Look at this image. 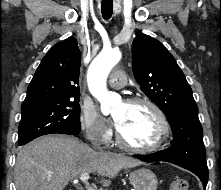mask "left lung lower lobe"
Masks as SVG:
<instances>
[{
  "mask_svg": "<svg viewBox=\"0 0 221 190\" xmlns=\"http://www.w3.org/2000/svg\"><path fill=\"white\" fill-rule=\"evenodd\" d=\"M134 157L145 162L165 161L183 167L197 175L202 181L204 189H206L209 177L206 159L195 156L178 155L172 152L170 148L148 155H134Z\"/></svg>",
  "mask_w": 221,
  "mask_h": 190,
  "instance_id": "obj_1",
  "label": "left lung lower lobe"
}]
</instances>
